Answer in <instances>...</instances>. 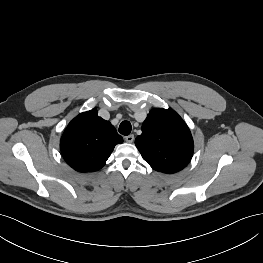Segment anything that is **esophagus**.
I'll return each instance as SVG.
<instances>
[{"label":"esophagus","instance_id":"esophagus-1","mask_svg":"<svg viewBox=\"0 0 263 263\" xmlns=\"http://www.w3.org/2000/svg\"><path fill=\"white\" fill-rule=\"evenodd\" d=\"M125 141L127 143H132L134 141V135L133 134H130L128 136L125 137Z\"/></svg>","mask_w":263,"mask_h":263}]
</instances>
